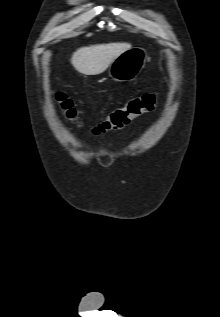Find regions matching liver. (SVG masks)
Segmentation results:
<instances>
[{"instance_id":"6515ba94","label":"liver","mask_w":220,"mask_h":317,"mask_svg":"<svg viewBox=\"0 0 220 317\" xmlns=\"http://www.w3.org/2000/svg\"><path fill=\"white\" fill-rule=\"evenodd\" d=\"M130 48L129 43H108L82 47L73 53L71 64L81 74L98 75Z\"/></svg>"}]
</instances>
